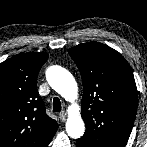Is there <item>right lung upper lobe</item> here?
Returning <instances> with one entry per match:
<instances>
[{
    "label": "right lung upper lobe",
    "instance_id": "cb5924a9",
    "mask_svg": "<svg viewBox=\"0 0 147 147\" xmlns=\"http://www.w3.org/2000/svg\"><path fill=\"white\" fill-rule=\"evenodd\" d=\"M48 54H18L0 64V147H46L58 125L46 114L37 76Z\"/></svg>",
    "mask_w": 147,
    "mask_h": 147
}]
</instances>
